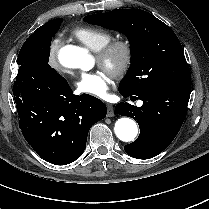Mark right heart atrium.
Listing matches in <instances>:
<instances>
[{
    "label": "right heart atrium",
    "mask_w": 209,
    "mask_h": 209,
    "mask_svg": "<svg viewBox=\"0 0 209 209\" xmlns=\"http://www.w3.org/2000/svg\"><path fill=\"white\" fill-rule=\"evenodd\" d=\"M62 46V40L59 37H55L50 40L47 50V61L51 68L60 69L58 61V52Z\"/></svg>",
    "instance_id": "1"
}]
</instances>
